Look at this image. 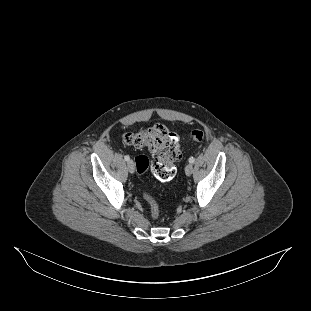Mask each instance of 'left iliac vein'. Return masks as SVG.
I'll return each mask as SVG.
<instances>
[{
    "label": "left iliac vein",
    "instance_id": "obj_1",
    "mask_svg": "<svg viewBox=\"0 0 311 311\" xmlns=\"http://www.w3.org/2000/svg\"><path fill=\"white\" fill-rule=\"evenodd\" d=\"M193 172V165L192 164H188L186 167H185V173L187 176H190Z\"/></svg>",
    "mask_w": 311,
    "mask_h": 311
}]
</instances>
